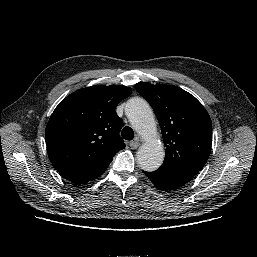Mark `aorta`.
Masks as SVG:
<instances>
[{
  "label": "aorta",
  "mask_w": 257,
  "mask_h": 257,
  "mask_svg": "<svg viewBox=\"0 0 257 257\" xmlns=\"http://www.w3.org/2000/svg\"><path fill=\"white\" fill-rule=\"evenodd\" d=\"M132 126L145 139L137 151V162L145 171L157 170L164 160V149L157 139L156 124L149 104L141 98L131 99L125 108Z\"/></svg>",
  "instance_id": "762f6f07"
}]
</instances>
